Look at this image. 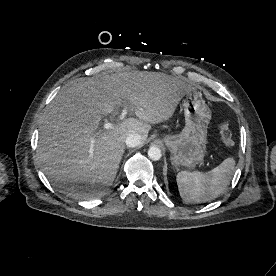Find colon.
I'll return each instance as SVG.
<instances>
[{"label": "colon", "instance_id": "5ec220e1", "mask_svg": "<svg viewBox=\"0 0 276 276\" xmlns=\"http://www.w3.org/2000/svg\"><path fill=\"white\" fill-rule=\"evenodd\" d=\"M218 132L220 141L223 145H225L226 147L234 146V139L227 123L220 124Z\"/></svg>", "mask_w": 276, "mask_h": 276}]
</instances>
